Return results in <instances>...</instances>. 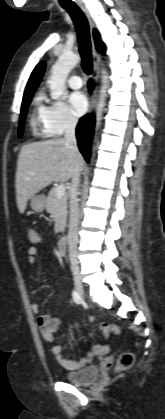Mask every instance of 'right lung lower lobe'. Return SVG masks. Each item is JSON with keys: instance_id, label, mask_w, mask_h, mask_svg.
I'll return each mask as SVG.
<instances>
[{"instance_id": "right-lung-lower-lobe-1", "label": "right lung lower lobe", "mask_w": 165, "mask_h": 419, "mask_svg": "<svg viewBox=\"0 0 165 419\" xmlns=\"http://www.w3.org/2000/svg\"><path fill=\"white\" fill-rule=\"evenodd\" d=\"M88 87L90 90H92L94 87V82L90 80L88 82ZM94 124H95L94 115H85L80 119L78 126L76 128V137L78 141V146L87 162H89L90 153H91L90 149H91V141L93 137Z\"/></svg>"}]
</instances>
